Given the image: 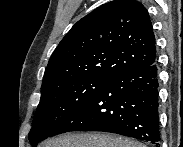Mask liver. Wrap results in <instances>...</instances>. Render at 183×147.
Instances as JSON below:
<instances>
[{"label": "liver", "instance_id": "1", "mask_svg": "<svg viewBox=\"0 0 183 147\" xmlns=\"http://www.w3.org/2000/svg\"><path fill=\"white\" fill-rule=\"evenodd\" d=\"M44 147H145V145L111 134L74 133L49 140Z\"/></svg>", "mask_w": 183, "mask_h": 147}]
</instances>
